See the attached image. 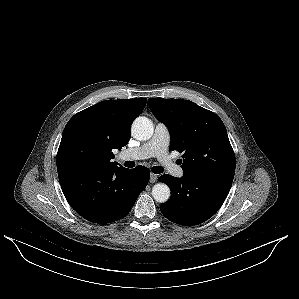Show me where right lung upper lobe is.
<instances>
[{"instance_id": "right-lung-upper-lobe-1", "label": "right lung upper lobe", "mask_w": 299, "mask_h": 299, "mask_svg": "<svg viewBox=\"0 0 299 299\" xmlns=\"http://www.w3.org/2000/svg\"><path fill=\"white\" fill-rule=\"evenodd\" d=\"M146 102V98L106 100L75 114L64 128L56 159L58 173L118 167L111 161L112 151L128 143L131 123Z\"/></svg>"}]
</instances>
